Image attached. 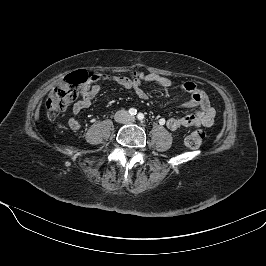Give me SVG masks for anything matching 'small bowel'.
Segmentation results:
<instances>
[{"mask_svg":"<svg viewBox=\"0 0 266 266\" xmlns=\"http://www.w3.org/2000/svg\"><path fill=\"white\" fill-rule=\"evenodd\" d=\"M152 82L158 84L164 91H169L172 82L168 77L156 73H135L132 78L109 75L105 73L95 74L93 84L86 86L81 91V99L72 107V117H70L68 124L71 129L79 130L81 123L77 119V115L91 106L93 99L98 95L100 87L99 82H109L120 85L127 89H132L140 99H147L148 95L142 88V82ZM182 88L191 94V98L185 102L182 107L198 108L192 114L179 117L170 118L166 121V126L170 130H177L181 127H210L214 122L215 110L211 106L208 96L204 91L199 89L193 82H185Z\"/></svg>","mask_w":266,"mask_h":266,"instance_id":"c3829d8e","label":"small bowel"}]
</instances>
